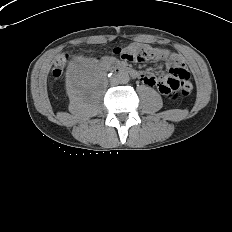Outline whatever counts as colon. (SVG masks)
Returning <instances> with one entry per match:
<instances>
[{"instance_id": "1", "label": "colon", "mask_w": 232, "mask_h": 232, "mask_svg": "<svg viewBox=\"0 0 232 232\" xmlns=\"http://www.w3.org/2000/svg\"><path fill=\"white\" fill-rule=\"evenodd\" d=\"M161 53L150 48H141L137 51L130 49L122 52V59L128 62L144 63L150 59H158ZM66 61L64 56H61L56 62L52 70L54 78H59L63 73V66ZM165 82L172 87L170 98L176 99L179 96L186 97L190 94L191 87L189 86V73L186 69L173 66L170 75Z\"/></svg>"}]
</instances>
